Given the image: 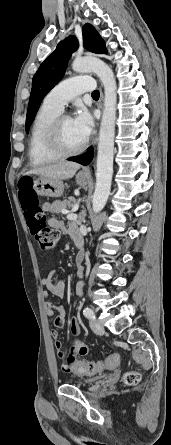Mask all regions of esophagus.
<instances>
[{"instance_id":"1","label":"esophagus","mask_w":171,"mask_h":445,"mask_svg":"<svg viewBox=\"0 0 171 445\" xmlns=\"http://www.w3.org/2000/svg\"><path fill=\"white\" fill-rule=\"evenodd\" d=\"M81 173H83V174H89V173H90V169H89V167H84V168L81 170Z\"/></svg>"}]
</instances>
